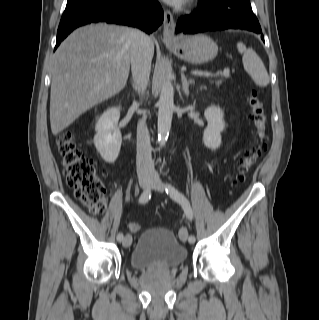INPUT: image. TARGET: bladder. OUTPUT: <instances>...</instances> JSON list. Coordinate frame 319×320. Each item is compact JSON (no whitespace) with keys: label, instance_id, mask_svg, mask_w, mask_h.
Here are the masks:
<instances>
[{"label":"bladder","instance_id":"1","mask_svg":"<svg viewBox=\"0 0 319 320\" xmlns=\"http://www.w3.org/2000/svg\"><path fill=\"white\" fill-rule=\"evenodd\" d=\"M187 249L166 228L143 231L130 253L129 264L136 269L173 268L187 259Z\"/></svg>","mask_w":319,"mask_h":320}]
</instances>
